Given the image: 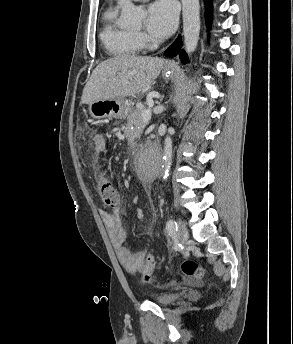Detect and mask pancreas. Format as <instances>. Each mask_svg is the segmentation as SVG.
<instances>
[{
  "instance_id": "cf45deb5",
  "label": "pancreas",
  "mask_w": 293,
  "mask_h": 344,
  "mask_svg": "<svg viewBox=\"0 0 293 344\" xmlns=\"http://www.w3.org/2000/svg\"><path fill=\"white\" fill-rule=\"evenodd\" d=\"M128 125L140 127V129L136 130L137 135L142 132L143 128L145 127V123L142 120V109L137 107L132 108L130 115L128 116Z\"/></svg>"
}]
</instances>
